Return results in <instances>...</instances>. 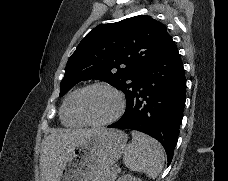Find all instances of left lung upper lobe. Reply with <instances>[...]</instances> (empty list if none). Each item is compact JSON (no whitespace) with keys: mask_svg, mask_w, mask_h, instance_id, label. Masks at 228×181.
<instances>
[{"mask_svg":"<svg viewBox=\"0 0 228 181\" xmlns=\"http://www.w3.org/2000/svg\"><path fill=\"white\" fill-rule=\"evenodd\" d=\"M170 39L164 24L145 15L94 28L69 58L60 96L80 81L99 79L127 100L137 75Z\"/></svg>","mask_w":228,"mask_h":181,"instance_id":"obj_1","label":"left lung upper lobe"}]
</instances>
